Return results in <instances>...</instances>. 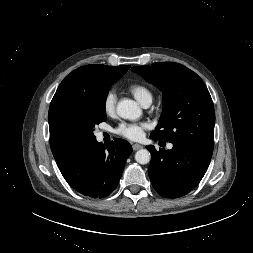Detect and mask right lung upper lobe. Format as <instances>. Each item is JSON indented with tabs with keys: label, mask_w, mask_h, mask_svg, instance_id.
<instances>
[{
	"label": "right lung upper lobe",
	"mask_w": 253,
	"mask_h": 253,
	"mask_svg": "<svg viewBox=\"0 0 253 253\" xmlns=\"http://www.w3.org/2000/svg\"><path fill=\"white\" fill-rule=\"evenodd\" d=\"M129 68L130 65L111 67L102 64H92L72 71L63 79L51 101L48 114L50 146L54 158L76 146L64 133L59 122V114L63 105L71 100L89 99L98 93L103 83H114Z\"/></svg>",
	"instance_id": "1"
}]
</instances>
